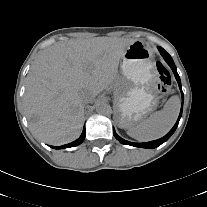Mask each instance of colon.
<instances>
[{
	"instance_id": "1",
	"label": "colon",
	"mask_w": 207,
	"mask_h": 207,
	"mask_svg": "<svg viewBox=\"0 0 207 207\" xmlns=\"http://www.w3.org/2000/svg\"><path fill=\"white\" fill-rule=\"evenodd\" d=\"M158 79L156 83V91L160 95H165L171 88V76L168 70L157 62Z\"/></svg>"
}]
</instances>
